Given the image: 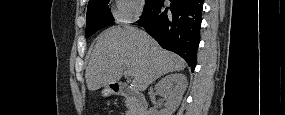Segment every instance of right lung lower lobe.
I'll use <instances>...</instances> for the list:
<instances>
[{
	"instance_id": "98d812e1",
	"label": "right lung lower lobe",
	"mask_w": 285,
	"mask_h": 115,
	"mask_svg": "<svg viewBox=\"0 0 285 115\" xmlns=\"http://www.w3.org/2000/svg\"><path fill=\"white\" fill-rule=\"evenodd\" d=\"M153 0L137 21L163 48L183 57L193 71L200 42L203 0Z\"/></svg>"
}]
</instances>
